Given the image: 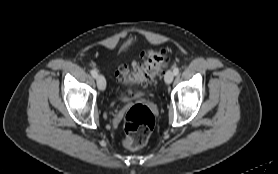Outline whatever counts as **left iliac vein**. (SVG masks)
Instances as JSON below:
<instances>
[{"mask_svg":"<svg viewBox=\"0 0 278 174\" xmlns=\"http://www.w3.org/2000/svg\"><path fill=\"white\" fill-rule=\"evenodd\" d=\"M173 79H174V73L171 70H168L164 76V80L166 84H170L173 81Z\"/></svg>","mask_w":278,"mask_h":174,"instance_id":"4c4485c4","label":"left iliac vein"}]
</instances>
